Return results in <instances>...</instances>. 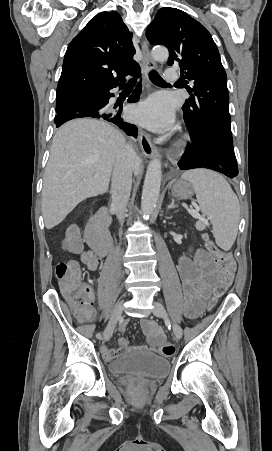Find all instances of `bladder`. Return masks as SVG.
Here are the masks:
<instances>
[{
    "mask_svg": "<svg viewBox=\"0 0 272 451\" xmlns=\"http://www.w3.org/2000/svg\"><path fill=\"white\" fill-rule=\"evenodd\" d=\"M108 369L113 375L133 373L143 378H160L167 375L169 361L154 353L128 354L110 362Z\"/></svg>",
    "mask_w": 272,
    "mask_h": 451,
    "instance_id": "31cf9c89",
    "label": "bladder"
}]
</instances>
